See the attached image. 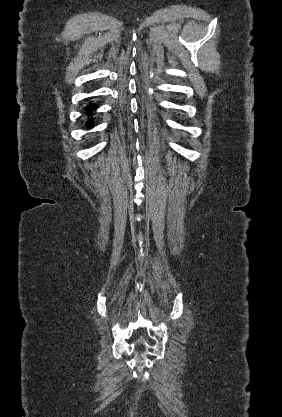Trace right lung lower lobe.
I'll list each match as a JSON object with an SVG mask.
<instances>
[{
  "instance_id": "1",
  "label": "right lung lower lobe",
  "mask_w": 282,
  "mask_h": 417,
  "mask_svg": "<svg viewBox=\"0 0 282 417\" xmlns=\"http://www.w3.org/2000/svg\"><path fill=\"white\" fill-rule=\"evenodd\" d=\"M95 108H96V106H95V105H93V104H89V105L86 107V111H87V112H89V113L91 114V112H92ZM92 125H93V122H92V121H89V122H88V126H89V127H92Z\"/></svg>"
}]
</instances>
